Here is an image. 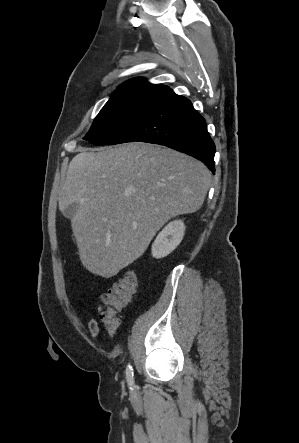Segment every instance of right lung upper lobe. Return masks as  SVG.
Segmentation results:
<instances>
[{
	"instance_id": "right-lung-upper-lobe-1",
	"label": "right lung upper lobe",
	"mask_w": 299,
	"mask_h": 443,
	"mask_svg": "<svg viewBox=\"0 0 299 443\" xmlns=\"http://www.w3.org/2000/svg\"><path fill=\"white\" fill-rule=\"evenodd\" d=\"M145 87H161L169 89L168 86L160 85V84H151L146 81L144 78H133L131 80L126 81L125 83L119 86V89H129V88H145Z\"/></svg>"
}]
</instances>
